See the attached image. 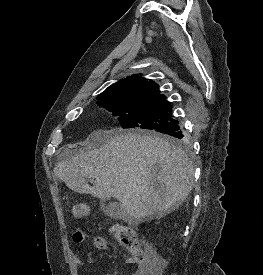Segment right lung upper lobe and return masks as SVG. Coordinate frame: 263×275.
<instances>
[{
  "label": "right lung upper lobe",
  "mask_w": 263,
  "mask_h": 275,
  "mask_svg": "<svg viewBox=\"0 0 263 275\" xmlns=\"http://www.w3.org/2000/svg\"><path fill=\"white\" fill-rule=\"evenodd\" d=\"M113 92H124L133 97H165L163 94H160L158 84L152 80L139 77L138 75L129 76L126 79L112 84L100 95Z\"/></svg>",
  "instance_id": "1"
}]
</instances>
